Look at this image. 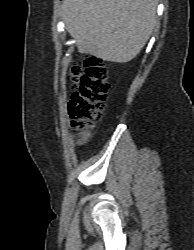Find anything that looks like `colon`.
<instances>
[{
    "instance_id": "obj_1",
    "label": "colon",
    "mask_w": 194,
    "mask_h": 250,
    "mask_svg": "<svg viewBox=\"0 0 194 250\" xmlns=\"http://www.w3.org/2000/svg\"><path fill=\"white\" fill-rule=\"evenodd\" d=\"M69 75L76 90L71 96L68 113L79 140L85 142L105 108L109 69L103 60L89 56L84 59L83 67L73 64Z\"/></svg>"
}]
</instances>
